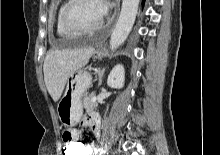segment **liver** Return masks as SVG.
I'll return each instance as SVG.
<instances>
[{
  "label": "liver",
  "instance_id": "6515ba94",
  "mask_svg": "<svg viewBox=\"0 0 220 155\" xmlns=\"http://www.w3.org/2000/svg\"><path fill=\"white\" fill-rule=\"evenodd\" d=\"M93 52V48L62 49L47 54L43 65L44 81L54 102L60 99L69 77L89 62Z\"/></svg>",
  "mask_w": 220,
  "mask_h": 155
}]
</instances>
